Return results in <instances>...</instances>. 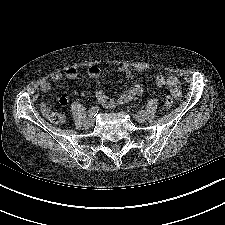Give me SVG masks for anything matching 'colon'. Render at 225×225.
I'll return each mask as SVG.
<instances>
[{
  "label": "colon",
  "mask_w": 225,
  "mask_h": 225,
  "mask_svg": "<svg viewBox=\"0 0 225 225\" xmlns=\"http://www.w3.org/2000/svg\"><path fill=\"white\" fill-rule=\"evenodd\" d=\"M173 104V99L171 96L167 95L164 98L163 106L165 109L171 108ZM48 118L53 123H61L64 120L63 114L56 112V111H50L48 113Z\"/></svg>",
  "instance_id": "colon-1"
}]
</instances>
